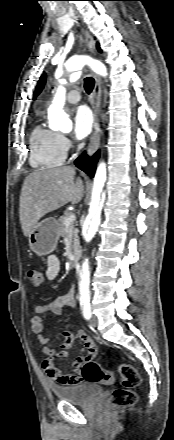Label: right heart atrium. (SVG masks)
<instances>
[{
	"mask_svg": "<svg viewBox=\"0 0 174 440\" xmlns=\"http://www.w3.org/2000/svg\"><path fill=\"white\" fill-rule=\"evenodd\" d=\"M59 142H60V146L63 149L64 153L67 154L71 150V147H72V143H71L70 139L63 134H60L59 135Z\"/></svg>",
	"mask_w": 174,
	"mask_h": 440,
	"instance_id": "obj_1",
	"label": "right heart atrium"
}]
</instances>
